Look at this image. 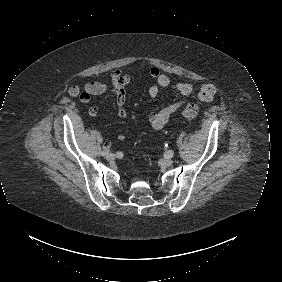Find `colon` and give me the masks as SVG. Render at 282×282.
Masks as SVG:
<instances>
[{
    "instance_id": "5ec220e1",
    "label": "colon",
    "mask_w": 282,
    "mask_h": 282,
    "mask_svg": "<svg viewBox=\"0 0 282 282\" xmlns=\"http://www.w3.org/2000/svg\"><path fill=\"white\" fill-rule=\"evenodd\" d=\"M201 101L200 97L195 98L194 104H190L182 111V117L185 119H192L194 118L199 112V103Z\"/></svg>"
}]
</instances>
